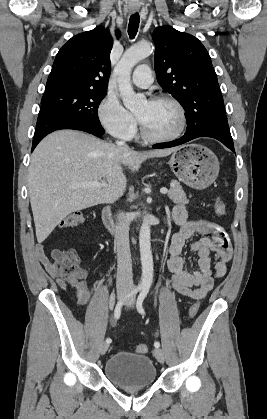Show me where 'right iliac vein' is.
<instances>
[{"label":"right iliac vein","mask_w":267,"mask_h":419,"mask_svg":"<svg viewBox=\"0 0 267 419\" xmlns=\"http://www.w3.org/2000/svg\"><path fill=\"white\" fill-rule=\"evenodd\" d=\"M125 295H126L125 291L120 292L118 294V299L121 300ZM108 347H109V344L107 342H103L101 344L100 352H101L102 355L106 353Z\"/></svg>","instance_id":"obj_1"}]
</instances>
